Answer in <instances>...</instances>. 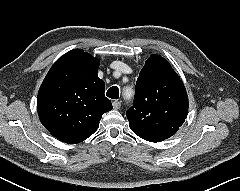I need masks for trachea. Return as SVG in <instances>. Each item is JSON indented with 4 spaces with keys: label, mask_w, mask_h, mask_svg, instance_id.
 I'll return each instance as SVG.
<instances>
[{
    "label": "trachea",
    "mask_w": 240,
    "mask_h": 191,
    "mask_svg": "<svg viewBox=\"0 0 240 191\" xmlns=\"http://www.w3.org/2000/svg\"><path fill=\"white\" fill-rule=\"evenodd\" d=\"M107 97L111 99H118L119 98V88L117 86H113L108 89L106 93Z\"/></svg>",
    "instance_id": "trachea-1"
}]
</instances>
